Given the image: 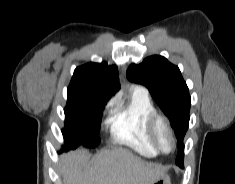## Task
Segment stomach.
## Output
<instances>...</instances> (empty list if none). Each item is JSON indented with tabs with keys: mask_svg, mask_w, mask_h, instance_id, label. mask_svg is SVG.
Listing matches in <instances>:
<instances>
[{
	"mask_svg": "<svg viewBox=\"0 0 235 184\" xmlns=\"http://www.w3.org/2000/svg\"><path fill=\"white\" fill-rule=\"evenodd\" d=\"M153 184H171V178L168 174H162L160 178H157Z\"/></svg>",
	"mask_w": 235,
	"mask_h": 184,
	"instance_id": "1",
	"label": "stomach"
}]
</instances>
